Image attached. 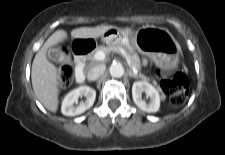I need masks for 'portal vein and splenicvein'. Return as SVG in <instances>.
<instances>
[{
    "label": "portal vein and splenic vein",
    "mask_w": 225,
    "mask_h": 155,
    "mask_svg": "<svg viewBox=\"0 0 225 155\" xmlns=\"http://www.w3.org/2000/svg\"><path fill=\"white\" fill-rule=\"evenodd\" d=\"M105 57H106V54H105V52H103V51H98V52H96L95 55H94V59L97 60V61H103V60L105 59ZM131 68H132V71H133L135 74L138 73L137 68H135L134 66H131Z\"/></svg>",
    "instance_id": "1"
}]
</instances>
